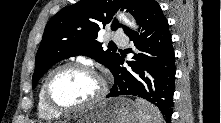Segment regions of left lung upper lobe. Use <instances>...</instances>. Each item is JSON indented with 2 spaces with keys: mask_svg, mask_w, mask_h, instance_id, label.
Instances as JSON below:
<instances>
[{
  "mask_svg": "<svg viewBox=\"0 0 221 123\" xmlns=\"http://www.w3.org/2000/svg\"><path fill=\"white\" fill-rule=\"evenodd\" d=\"M153 0H81L55 14L46 25L37 51L33 88L38 80L57 62L78 55H85L104 64L110 71L120 57L112 50H103L97 42L98 31L106 25L117 30L122 25L114 13L126 9L138 23ZM125 33L131 29L123 27Z\"/></svg>",
  "mask_w": 221,
  "mask_h": 123,
  "instance_id": "5c2ea615",
  "label": "left lung upper lobe"
}]
</instances>
